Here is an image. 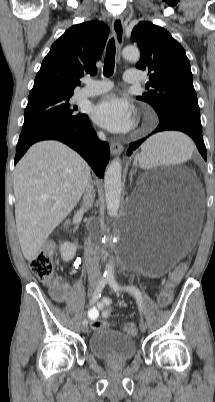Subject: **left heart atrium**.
<instances>
[{
    "mask_svg": "<svg viewBox=\"0 0 215 402\" xmlns=\"http://www.w3.org/2000/svg\"><path fill=\"white\" fill-rule=\"evenodd\" d=\"M92 118L100 126L116 133L130 130L135 123L133 106L115 94L105 96L94 106Z\"/></svg>",
    "mask_w": 215,
    "mask_h": 402,
    "instance_id": "left-heart-atrium-1",
    "label": "left heart atrium"
}]
</instances>
